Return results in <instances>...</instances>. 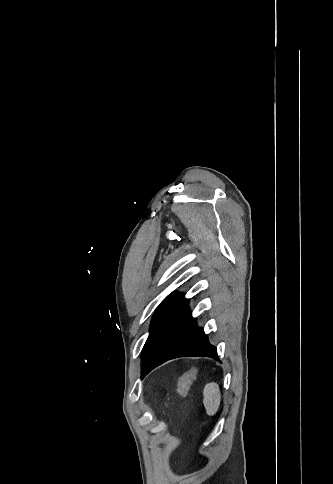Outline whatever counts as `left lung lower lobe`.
Segmentation results:
<instances>
[{"instance_id":"0a47b994","label":"left lung lower lobe","mask_w":333,"mask_h":484,"mask_svg":"<svg viewBox=\"0 0 333 484\" xmlns=\"http://www.w3.org/2000/svg\"><path fill=\"white\" fill-rule=\"evenodd\" d=\"M184 356H208L218 360L216 347L196 325L184 296L172 293L156 310L149 337L142 350L144 378L152 369L167 360Z\"/></svg>"}]
</instances>
